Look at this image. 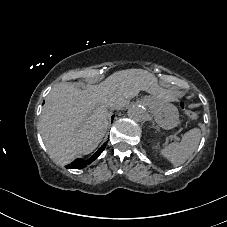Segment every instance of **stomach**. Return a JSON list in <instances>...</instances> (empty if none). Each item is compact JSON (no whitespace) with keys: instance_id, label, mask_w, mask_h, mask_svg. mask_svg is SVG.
I'll list each match as a JSON object with an SVG mask.
<instances>
[{"instance_id":"1","label":"stomach","mask_w":227,"mask_h":227,"mask_svg":"<svg viewBox=\"0 0 227 227\" xmlns=\"http://www.w3.org/2000/svg\"><path fill=\"white\" fill-rule=\"evenodd\" d=\"M156 123L163 129H173L179 123V112L175 105L154 97L145 98Z\"/></svg>"}]
</instances>
